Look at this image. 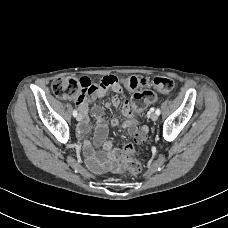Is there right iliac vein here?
<instances>
[{"mask_svg":"<svg viewBox=\"0 0 228 228\" xmlns=\"http://www.w3.org/2000/svg\"><path fill=\"white\" fill-rule=\"evenodd\" d=\"M76 119H77V121H81V119H82L81 114H78V115L76 116Z\"/></svg>","mask_w":228,"mask_h":228,"instance_id":"63e3f726","label":"right iliac vein"}]
</instances>
